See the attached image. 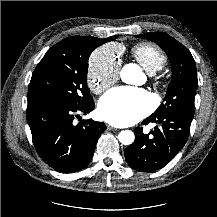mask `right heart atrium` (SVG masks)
<instances>
[{
    "instance_id": "1",
    "label": "right heart atrium",
    "mask_w": 217,
    "mask_h": 217,
    "mask_svg": "<svg viewBox=\"0 0 217 217\" xmlns=\"http://www.w3.org/2000/svg\"><path fill=\"white\" fill-rule=\"evenodd\" d=\"M119 50L114 45L96 49L89 60L87 82L92 91L100 94L118 79L120 70Z\"/></svg>"
}]
</instances>
